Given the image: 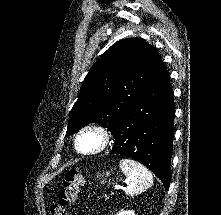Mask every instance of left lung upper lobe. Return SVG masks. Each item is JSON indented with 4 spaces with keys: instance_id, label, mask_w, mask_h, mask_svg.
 <instances>
[{
    "instance_id": "left-lung-upper-lobe-1",
    "label": "left lung upper lobe",
    "mask_w": 221,
    "mask_h": 215,
    "mask_svg": "<svg viewBox=\"0 0 221 215\" xmlns=\"http://www.w3.org/2000/svg\"><path fill=\"white\" fill-rule=\"evenodd\" d=\"M163 66L155 47L142 39L116 42L91 67L70 112L66 135L93 122L114 131Z\"/></svg>"
}]
</instances>
